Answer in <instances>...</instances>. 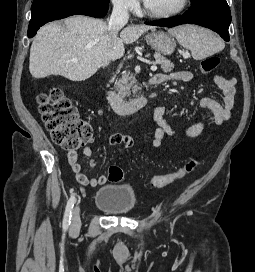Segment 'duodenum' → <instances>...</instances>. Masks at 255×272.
Returning a JSON list of instances; mask_svg holds the SVG:
<instances>
[{"instance_id": "410a0bca", "label": "duodenum", "mask_w": 255, "mask_h": 272, "mask_svg": "<svg viewBox=\"0 0 255 272\" xmlns=\"http://www.w3.org/2000/svg\"><path fill=\"white\" fill-rule=\"evenodd\" d=\"M149 84L156 85L158 82L154 78H151ZM105 98L110 107L115 112L122 115L135 113L147 104V98L144 95H140L136 98L124 101L113 92L106 91Z\"/></svg>"}]
</instances>
